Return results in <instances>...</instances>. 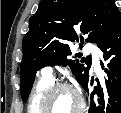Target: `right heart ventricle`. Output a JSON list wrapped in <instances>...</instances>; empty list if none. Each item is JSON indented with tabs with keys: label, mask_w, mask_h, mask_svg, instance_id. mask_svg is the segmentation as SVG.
I'll list each match as a JSON object with an SVG mask.
<instances>
[{
	"label": "right heart ventricle",
	"mask_w": 121,
	"mask_h": 113,
	"mask_svg": "<svg viewBox=\"0 0 121 113\" xmlns=\"http://www.w3.org/2000/svg\"><path fill=\"white\" fill-rule=\"evenodd\" d=\"M52 83V78L43 76L37 83L30 101V109H40L44 90Z\"/></svg>",
	"instance_id": "right-heart-ventricle-1"
}]
</instances>
